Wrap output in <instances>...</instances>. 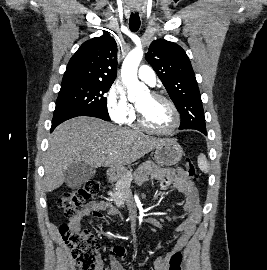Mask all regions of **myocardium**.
<instances>
[{"label": "myocardium", "instance_id": "f54148a6", "mask_svg": "<svg viewBox=\"0 0 267 270\" xmlns=\"http://www.w3.org/2000/svg\"><path fill=\"white\" fill-rule=\"evenodd\" d=\"M153 98L157 99V100H161L163 102H165L173 115V122L171 124V126L168 129L165 130H157L154 128H151L150 126H148L146 124V122L144 121L141 112L139 111V109L137 108V124L138 126L143 129L144 131L154 134V135H160V136H167L172 134L179 126L180 123V114L179 111L176 107V105L174 104V102L169 99L168 97H166L163 94L157 93V92H153L150 94Z\"/></svg>", "mask_w": 267, "mask_h": 270}]
</instances>
